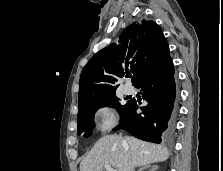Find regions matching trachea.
I'll list each match as a JSON object with an SVG mask.
<instances>
[{"label": "trachea", "mask_w": 223, "mask_h": 171, "mask_svg": "<svg viewBox=\"0 0 223 171\" xmlns=\"http://www.w3.org/2000/svg\"><path fill=\"white\" fill-rule=\"evenodd\" d=\"M127 77H131V74H128Z\"/></svg>", "instance_id": "trachea-1"}]
</instances>
